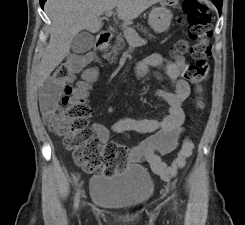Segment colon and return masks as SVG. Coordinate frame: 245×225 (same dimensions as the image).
I'll return each mask as SVG.
<instances>
[{
	"mask_svg": "<svg viewBox=\"0 0 245 225\" xmlns=\"http://www.w3.org/2000/svg\"><path fill=\"white\" fill-rule=\"evenodd\" d=\"M181 8L186 17L189 36L197 41L191 48L195 63L189 77L196 85V106L200 108V84L206 79L210 68L212 28L206 7L197 0H183ZM176 47L179 51H186L187 44L180 41ZM81 59L82 54H75L65 60L56 73L45 82L48 93L61 94V101L54 110L56 133L64 145L73 151L75 161L86 171L112 174L115 170L124 168L128 149L125 145L114 142L101 147L99 141L94 138L89 128L91 110L85 102V88L82 85H71L74 70L80 66ZM191 153L192 144L185 140L172 164L167 165L156 159L153 169L161 178L171 180Z\"/></svg>",
	"mask_w": 245,
	"mask_h": 225,
	"instance_id": "obj_1",
	"label": "colon"
}]
</instances>
